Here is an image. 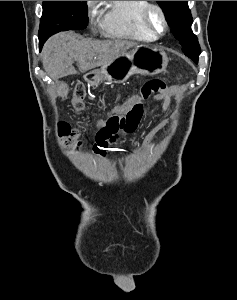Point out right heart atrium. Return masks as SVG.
I'll return each instance as SVG.
<instances>
[{"instance_id": "right-heart-atrium-1", "label": "right heart atrium", "mask_w": 237, "mask_h": 300, "mask_svg": "<svg viewBox=\"0 0 237 300\" xmlns=\"http://www.w3.org/2000/svg\"><path fill=\"white\" fill-rule=\"evenodd\" d=\"M86 8L90 18H94L99 12V1H86Z\"/></svg>"}]
</instances>
